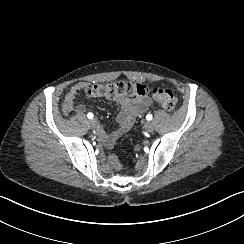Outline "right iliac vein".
Returning a JSON list of instances; mask_svg holds the SVG:
<instances>
[{
    "mask_svg": "<svg viewBox=\"0 0 244 244\" xmlns=\"http://www.w3.org/2000/svg\"><path fill=\"white\" fill-rule=\"evenodd\" d=\"M89 125L92 127V128H95L98 126V121L97 119H91L90 122H89Z\"/></svg>",
    "mask_w": 244,
    "mask_h": 244,
    "instance_id": "right-iliac-vein-1",
    "label": "right iliac vein"
}]
</instances>
